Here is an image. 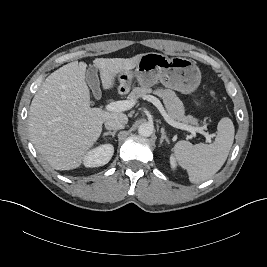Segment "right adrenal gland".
<instances>
[{
  "label": "right adrenal gland",
  "instance_id": "1",
  "mask_svg": "<svg viewBox=\"0 0 267 267\" xmlns=\"http://www.w3.org/2000/svg\"><path fill=\"white\" fill-rule=\"evenodd\" d=\"M115 134H116V131H113V132L108 131V132H105V133L103 134V137L108 136V135H111L112 137H114Z\"/></svg>",
  "mask_w": 267,
  "mask_h": 267
}]
</instances>
